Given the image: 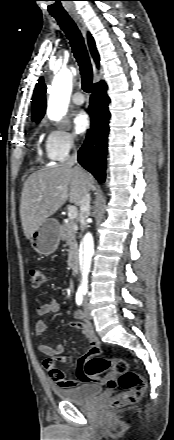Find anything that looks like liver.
Returning a JSON list of instances; mask_svg holds the SVG:
<instances>
[{"label": "liver", "mask_w": 174, "mask_h": 440, "mask_svg": "<svg viewBox=\"0 0 174 440\" xmlns=\"http://www.w3.org/2000/svg\"><path fill=\"white\" fill-rule=\"evenodd\" d=\"M93 187V177L81 167L66 164L44 168L25 181L20 202V218L24 235L33 232L69 199L80 205L86 191ZM41 200H39V198Z\"/></svg>", "instance_id": "liver-1"}]
</instances>
